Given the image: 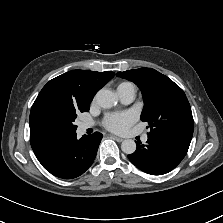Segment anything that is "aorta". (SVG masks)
<instances>
[{
	"label": "aorta",
	"mask_w": 223,
	"mask_h": 223,
	"mask_svg": "<svg viewBox=\"0 0 223 223\" xmlns=\"http://www.w3.org/2000/svg\"><path fill=\"white\" fill-rule=\"evenodd\" d=\"M96 101L102 108H111L117 103V97L114 92L101 89L96 94ZM121 149L126 154H132L136 150V143L132 139L123 140Z\"/></svg>",
	"instance_id": "obj_1"
}]
</instances>
